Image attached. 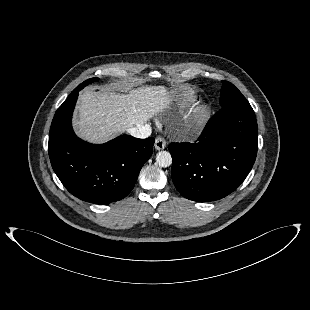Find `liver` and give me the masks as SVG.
Instances as JSON below:
<instances>
[{
	"label": "liver",
	"instance_id": "1",
	"mask_svg": "<svg viewBox=\"0 0 310 310\" xmlns=\"http://www.w3.org/2000/svg\"><path fill=\"white\" fill-rule=\"evenodd\" d=\"M171 90L164 85L131 89L126 93L111 90H85L79 96L76 133L92 143H103L128 128L143 125L172 104Z\"/></svg>",
	"mask_w": 310,
	"mask_h": 310
}]
</instances>
